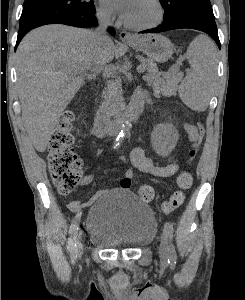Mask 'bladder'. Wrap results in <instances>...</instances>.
Returning a JSON list of instances; mask_svg holds the SVG:
<instances>
[{
    "mask_svg": "<svg viewBox=\"0 0 245 300\" xmlns=\"http://www.w3.org/2000/svg\"><path fill=\"white\" fill-rule=\"evenodd\" d=\"M89 241L102 248L137 249L151 243L157 220L145 202L126 189L102 193L88 210Z\"/></svg>",
    "mask_w": 245,
    "mask_h": 300,
    "instance_id": "bladder-1",
    "label": "bladder"
}]
</instances>
